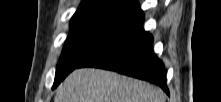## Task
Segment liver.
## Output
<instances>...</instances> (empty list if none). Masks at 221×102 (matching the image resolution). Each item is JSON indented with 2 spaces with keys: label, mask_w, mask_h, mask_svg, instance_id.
Here are the masks:
<instances>
[{
  "label": "liver",
  "mask_w": 221,
  "mask_h": 102,
  "mask_svg": "<svg viewBox=\"0 0 221 102\" xmlns=\"http://www.w3.org/2000/svg\"><path fill=\"white\" fill-rule=\"evenodd\" d=\"M155 86L115 72L83 68L73 71L58 88L54 102H164Z\"/></svg>",
  "instance_id": "1"
}]
</instances>
